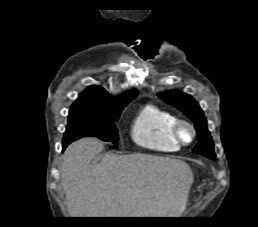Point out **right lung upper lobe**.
Returning <instances> with one entry per match:
<instances>
[{
	"label": "right lung upper lobe",
	"instance_id": "1",
	"mask_svg": "<svg viewBox=\"0 0 258 227\" xmlns=\"http://www.w3.org/2000/svg\"><path fill=\"white\" fill-rule=\"evenodd\" d=\"M137 91H128L118 99L113 98L100 86H89L83 91L73 106L91 108H113L131 101L137 96Z\"/></svg>",
	"mask_w": 258,
	"mask_h": 227
}]
</instances>
